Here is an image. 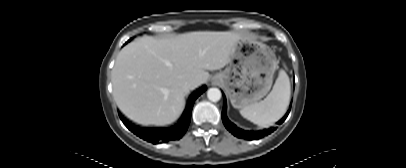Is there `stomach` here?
Instances as JSON below:
<instances>
[{
  "instance_id": "1",
  "label": "stomach",
  "mask_w": 406,
  "mask_h": 168,
  "mask_svg": "<svg viewBox=\"0 0 406 168\" xmlns=\"http://www.w3.org/2000/svg\"><path fill=\"white\" fill-rule=\"evenodd\" d=\"M278 65L274 53L263 43L242 38L225 69L213 81L226 91L235 108L257 103L271 89Z\"/></svg>"
}]
</instances>
